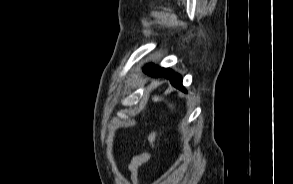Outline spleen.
<instances>
[{"label":"spleen","mask_w":293,"mask_h":184,"mask_svg":"<svg viewBox=\"0 0 293 184\" xmlns=\"http://www.w3.org/2000/svg\"><path fill=\"white\" fill-rule=\"evenodd\" d=\"M152 100L154 101V102H157V101H161V98L159 97V96H154L153 98H152ZM172 106V105H171Z\"/></svg>","instance_id":"1"}]
</instances>
